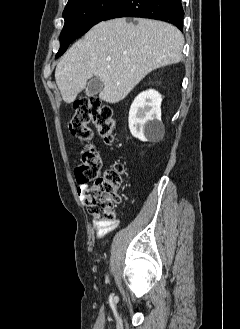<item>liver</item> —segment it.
I'll return each mask as SVG.
<instances>
[{
    "mask_svg": "<svg viewBox=\"0 0 240 329\" xmlns=\"http://www.w3.org/2000/svg\"><path fill=\"white\" fill-rule=\"evenodd\" d=\"M134 22H100L66 52L55 70L64 102L72 103L95 76L104 86L99 98L117 103L151 71L181 61L184 37L176 27L150 19Z\"/></svg>",
    "mask_w": 240,
    "mask_h": 329,
    "instance_id": "obj_1",
    "label": "liver"
}]
</instances>
